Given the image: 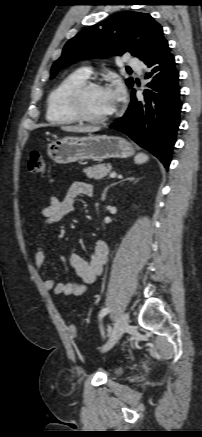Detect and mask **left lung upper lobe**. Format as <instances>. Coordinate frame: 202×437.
<instances>
[{
  "label": "left lung upper lobe",
  "instance_id": "5c2ea615",
  "mask_svg": "<svg viewBox=\"0 0 202 437\" xmlns=\"http://www.w3.org/2000/svg\"><path fill=\"white\" fill-rule=\"evenodd\" d=\"M167 44L163 30L148 13L125 11L91 26L70 39L61 57L53 64L51 78L66 66L90 58H106L130 52L144 63L154 58ZM133 79L126 80L133 86Z\"/></svg>",
  "mask_w": 202,
  "mask_h": 437
}]
</instances>
